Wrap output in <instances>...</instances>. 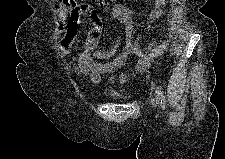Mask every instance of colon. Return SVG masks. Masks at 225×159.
Listing matches in <instances>:
<instances>
[{"label":"colon","instance_id":"obj_1","mask_svg":"<svg viewBox=\"0 0 225 159\" xmlns=\"http://www.w3.org/2000/svg\"><path fill=\"white\" fill-rule=\"evenodd\" d=\"M58 1H60L61 3L65 4V5L71 4L73 2V0H58ZM96 1H100V2H112L114 0H96Z\"/></svg>","mask_w":225,"mask_h":159}]
</instances>
